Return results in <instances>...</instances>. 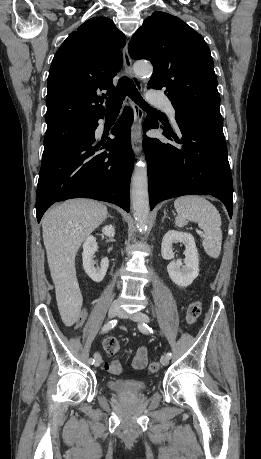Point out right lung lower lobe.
<instances>
[{
  "label": "right lung lower lobe",
  "mask_w": 261,
  "mask_h": 459,
  "mask_svg": "<svg viewBox=\"0 0 261 459\" xmlns=\"http://www.w3.org/2000/svg\"><path fill=\"white\" fill-rule=\"evenodd\" d=\"M132 121L131 109L125 108L112 130L115 138L105 144L109 152H100L104 142L95 144L93 134L86 141L72 144L42 159L36 194L38 222L54 202L70 198L106 201L129 212L134 163L129 130ZM97 126L98 120L94 133Z\"/></svg>",
  "instance_id": "98d812e1"
}]
</instances>
